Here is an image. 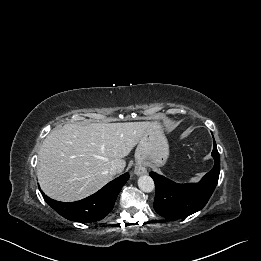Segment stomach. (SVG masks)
<instances>
[{
	"mask_svg": "<svg viewBox=\"0 0 261 261\" xmlns=\"http://www.w3.org/2000/svg\"><path fill=\"white\" fill-rule=\"evenodd\" d=\"M169 156V145L161 125L157 122L141 136L135 152L137 164L149 163L160 167L166 163Z\"/></svg>",
	"mask_w": 261,
	"mask_h": 261,
	"instance_id": "0dacf381",
	"label": "stomach"
}]
</instances>
